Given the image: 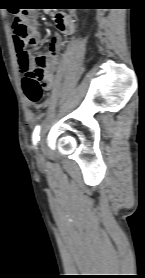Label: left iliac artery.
<instances>
[{
    "instance_id": "44dca946",
    "label": "left iliac artery",
    "mask_w": 145,
    "mask_h": 278,
    "mask_svg": "<svg viewBox=\"0 0 145 278\" xmlns=\"http://www.w3.org/2000/svg\"><path fill=\"white\" fill-rule=\"evenodd\" d=\"M40 125H37L33 131V134H32V142H33V145L36 146L39 139H40Z\"/></svg>"
}]
</instances>
